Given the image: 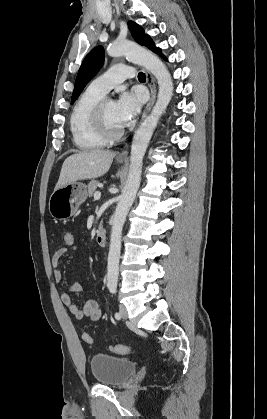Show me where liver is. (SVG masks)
<instances>
[{
  "label": "liver",
  "mask_w": 267,
  "mask_h": 419,
  "mask_svg": "<svg viewBox=\"0 0 267 419\" xmlns=\"http://www.w3.org/2000/svg\"><path fill=\"white\" fill-rule=\"evenodd\" d=\"M116 153L94 149L73 154L65 159L55 189L77 181L97 178L108 172Z\"/></svg>",
  "instance_id": "liver-1"
}]
</instances>
